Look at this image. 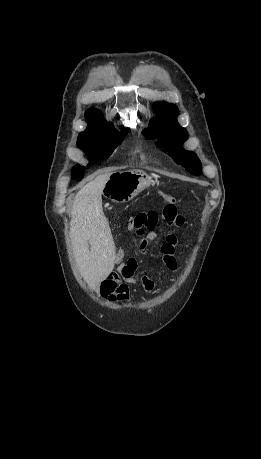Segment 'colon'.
<instances>
[{"instance_id":"obj_1","label":"colon","mask_w":261,"mask_h":459,"mask_svg":"<svg viewBox=\"0 0 261 459\" xmlns=\"http://www.w3.org/2000/svg\"><path fill=\"white\" fill-rule=\"evenodd\" d=\"M161 195L164 200L162 218L171 227H181L184 223V218L177 212L175 197L167 193H162ZM132 223L134 229L139 233H143L146 230L152 231L159 223V215L156 211L142 212L135 216ZM167 236L169 238H174L176 236V231L174 229H169L167 231ZM116 252V259L118 261H126L130 258V255L123 245H118L116 247Z\"/></svg>"}]
</instances>
